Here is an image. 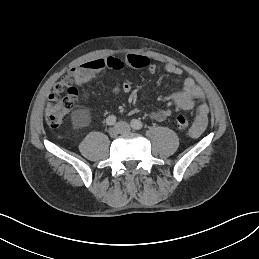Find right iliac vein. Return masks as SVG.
Masks as SVG:
<instances>
[{
    "label": "right iliac vein",
    "mask_w": 259,
    "mask_h": 259,
    "mask_svg": "<svg viewBox=\"0 0 259 259\" xmlns=\"http://www.w3.org/2000/svg\"><path fill=\"white\" fill-rule=\"evenodd\" d=\"M119 133H120V132H119V129H118L116 126L112 127V128L109 130V135H110V137H112V138L117 137Z\"/></svg>",
    "instance_id": "obj_1"
}]
</instances>
